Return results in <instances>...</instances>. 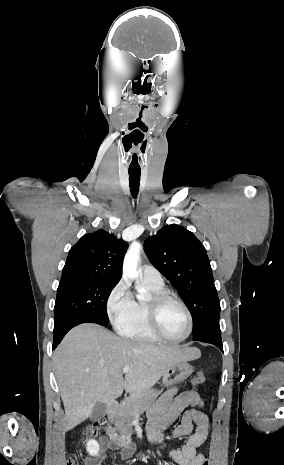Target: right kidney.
I'll return each mask as SVG.
<instances>
[{"label":"right kidney","instance_id":"ca27d5eb","mask_svg":"<svg viewBox=\"0 0 284 465\" xmlns=\"http://www.w3.org/2000/svg\"><path fill=\"white\" fill-rule=\"evenodd\" d=\"M87 451L90 453V455H98L99 453V445L97 441H94V439H91V441H88L87 445Z\"/></svg>","mask_w":284,"mask_h":465}]
</instances>
